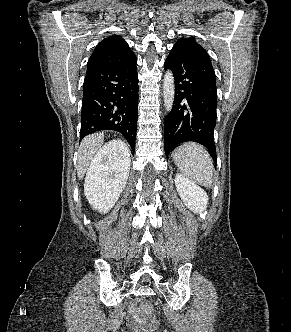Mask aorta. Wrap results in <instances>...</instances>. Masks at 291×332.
I'll return each mask as SVG.
<instances>
[{
    "label": "aorta",
    "mask_w": 291,
    "mask_h": 332,
    "mask_svg": "<svg viewBox=\"0 0 291 332\" xmlns=\"http://www.w3.org/2000/svg\"><path fill=\"white\" fill-rule=\"evenodd\" d=\"M175 97L174 76L171 70H167L163 79V98L166 112H170L173 107Z\"/></svg>",
    "instance_id": "aorta-1"
}]
</instances>
